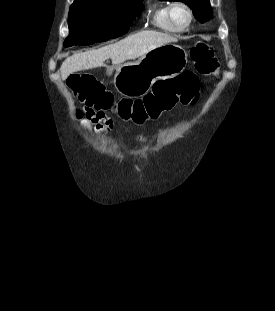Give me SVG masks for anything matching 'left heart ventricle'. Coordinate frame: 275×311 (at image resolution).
I'll list each match as a JSON object with an SVG mask.
<instances>
[{"label":"left heart ventricle","mask_w":275,"mask_h":311,"mask_svg":"<svg viewBox=\"0 0 275 311\" xmlns=\"http://www.w3.org/2000/svg\"><path fill=\"white\" fill-rule=\"evenodd\" d=\"M172 17H173V21L174 23L179 26L182 27L184 25H186L187 21H188V13L187 11L182 8V7H175L173 9L172 12Z\"/></svg>","instance_id":"obj_1"}]
</instances>
